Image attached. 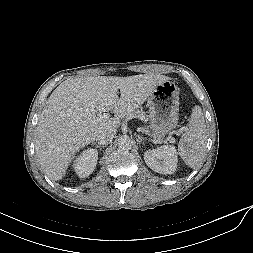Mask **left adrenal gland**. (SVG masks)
Instances as JSON below:
<instances>
[{"label":"left adrenal gland","instance_id":"obj_1","mask_svg":"<svg viewBox=\"0 0 253 253\" xmlns=\"http://www.w3.org/2000/svg\"><path fill=\"white\" fill-rule=\"evenodd\" d=\"M136 137H137V141H138L139 143H142L143 140H146V138L141 137V136H139V135H137Z\"/></svg>","mask_w":253,"mask_h":253}]
</instances>
